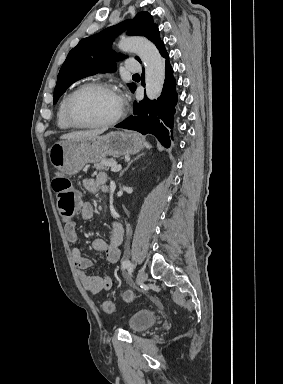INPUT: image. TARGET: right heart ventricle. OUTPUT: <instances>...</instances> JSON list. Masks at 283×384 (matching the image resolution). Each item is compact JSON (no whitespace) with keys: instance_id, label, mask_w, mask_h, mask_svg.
Here are the masks:
<instances>
[{"instance_id":"obj_1","label":"right heart ventricle","mask_w":283,"mask_h":384,"mask_svg":"<svg viewBox=\"0 0 283 384\" xmlns=\"http://www.w3.org/2000/svg\"><path fill=\"white\" fill-rule=\"evenodd\" d=\"M72 92L73 91H69L68 93H66L61 98V100H60V102L58 104V107H57V111H56V123H57V126H58L59 129H61L63 131L71 130V127L66 123L65 118H64V107H65V103H66L67 98L69 97V95Z\"/></svg>"}]
</instances>
